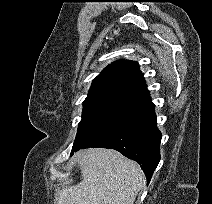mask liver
I'll list each match as a JSON object with an SVG mask.
<instances>
[{
  "label": "liver",
  "mask_w": 212,
  "mask_h": 204,
  "mask_svg": "<svg viewBox=\"0 0 212 204\" xmlns=\"http://www.w3.org/2000/svg\"><path fill=\"white\" fill-rule=\"evenodd\" d=\"M82 181L56 193L55 204H134L146 177L140 166L112 149L77 153Z\"/></svg>",
  "instance_id": "1"
}]
</instances>
